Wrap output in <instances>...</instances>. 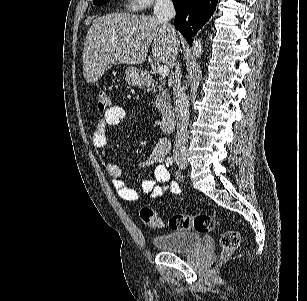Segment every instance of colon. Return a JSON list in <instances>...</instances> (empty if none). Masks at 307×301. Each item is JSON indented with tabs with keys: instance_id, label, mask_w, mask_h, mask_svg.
<instances>
[{
	"instance_id": "obj_1",
	"label": "colon",
	"mask_w": 307,
	"mask_h": 301,
	"mask_svg": "<svg viewBox=\"0 0 307 301\" xmlns=\"http://www.w3.org/2000/svg\"><path fill=\"white\" fill-rule=\"evenodd\" d=\"M111 105L110 96L107 92L101 91L98 94L97 110L100 113L106 112ZM140 217L145 225L153 229L163 226V221L152 208L144 207L140 211ZM169 227L174 231L194 230L199 233H207L214 229L215 221L208 214L185 215L175 214L169 219ZM240 245V234L236 230H228L220 237V246L224 255L234 252Z\"/></svg>"
}]
</instances>
